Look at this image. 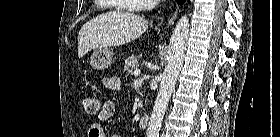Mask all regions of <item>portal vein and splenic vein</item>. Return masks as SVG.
Here are the masks:
<instances>
[{"label":"portal vein and splenic vein","mask_w":280,"mask_h":137,"mask_svg":"<svg viewBox=\"0 0 280 137\" xmlns=\"http://www.w3.org/2000/svg\"><path fill=\"white\" fill-rule=\"evenodd\" d=\"M140 72H141V71H140L139 69H136V70L134 71V75H135V76H138V75L140 74Z\"/></svg>","instance_id":"portal-vein-and-splenic-vein-1"}]
</instances>
